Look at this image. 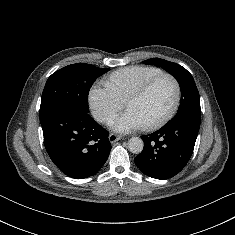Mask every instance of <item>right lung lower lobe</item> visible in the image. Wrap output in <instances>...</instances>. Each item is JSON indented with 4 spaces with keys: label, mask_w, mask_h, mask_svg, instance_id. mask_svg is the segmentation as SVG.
Wrapping results in <instances>:
<instances>
[{
    "label": "right lung lower lobe",
    "mask_w": 235,
    "mask_h": 235,
    "mask_svg": "<svg viewBox=\"0 0 235 235\" xmlns=\"http://www.w3.org/2000/svg\"><path fill=\"white\" fill-rule=\"evenodd\" d=\"M40 122L47 153L67 176L90 177L107 161L109 133L87 112L63 106L50 111Z\"/></svg>",
    "instance_id": "obj_1"
}]
</instances>
